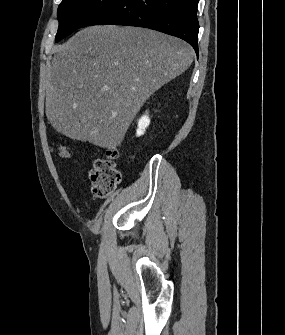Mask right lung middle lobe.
<instances>
[{"label": "right lung middle lobe", "mask_w": 285, "mask_h": 335, "mask_svg": "<svg viewBox=\"0 0 285 335\" xmlns=\"http://www.w3.org/2000/svg\"><path fill=\"white\" fill-rule=\"evenodd\" d=\"M116 0H62L58 8L59 28L55 38L58 42L83 26Z\"/></svg>", "instance_id": "dd1d6c3e"}]
</instances>
